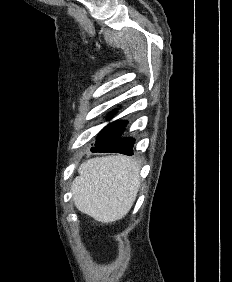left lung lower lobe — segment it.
<instances>
[{
  "mask_svg": "<svg viewBox=\"0 0 232 282\" xmlns=\"http://www.w3.org/2000/svg\"><path fill=\"white\" fill-rule=\"evenodd\" d=\"M113 113H110L112 115ZM127 125V121H118L104 128L96 139V144L91 148L92 152H117L125 155H133V138H121L120 135Z\"/></svg>",
  "mask_w": 232,
  "mask_h": 282,
  "instance_id": "1",
  "label": "left lung lower lobe"
}]
</instances>
